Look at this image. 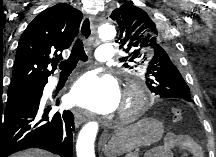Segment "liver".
I'll list each match as a JSON object with an SVG mask.
<instances>
[{"label":"liver","mask_w":216,"mask_h":157,"mask_svg":"<svg viewBox=\"0 0 216 157\" xmlns=\"http://www.w3.org/2000/svg\"><path fill=\"white\" fill-rule=\"evenodd\" d=\"M12 157H54L53 154L41 149H27L15 154Z\"/></svg>","instance_id":"1"}]
</instances>
